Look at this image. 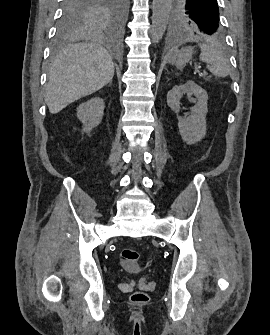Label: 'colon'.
<instances>
[{"instance_id": "colon-1", "label": "colon", "mask_w": 270, "mask_h": 335, "mask_svg": "<svg viewBox=\"0 0 270 335\" xmlns=\"http://www.w3.org/2000/svg\"><path fill=\"white\" fill-rule=\"evenodd\" d=\"M121 264L126 269H135L138 266L140 254L135 248H123L121 250ZM148 294L145 292H133L131 300L135 303L143 304L148 301Z\"/></svg>"}]
</instances>
